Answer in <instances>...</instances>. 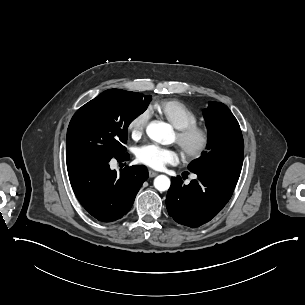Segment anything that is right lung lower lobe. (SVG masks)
Instances as JSON below:
<instances>
[{
	"instance_id": "1",
	"label": "right lung lower lobe",
	"mask_w": 305,
	"mask_h": 305,
	"mask_svg": "<svg viewBox=\"0 0 305 305\" xmlns=\"http://www.w3.org/2000/svg\"><path fill=\"white\" fill-rule=\"evenodd\" d=\"M127 153L118 160H128ZM110 161V160H109ZM109 161L90 158L67 160L73 191L82 206L97 220L112 222L131 209L136 194L148 178L145 166L124 168L120 175L111 170Z\"/></svg>"
}]
</instances>
